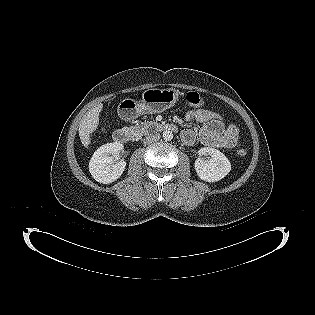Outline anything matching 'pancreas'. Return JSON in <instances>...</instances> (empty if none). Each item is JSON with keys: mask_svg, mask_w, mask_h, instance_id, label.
<instances>
[{"mask_svg": "<svg viewBox=\"0 0 315 315\" xmlns=\"http://www.w3.org/2000/svg\"><path fill=\"white\" fill-rule=\"evenodd\" d=\"M152 125H157L156 122H146V123H142L141 125H135L130 127V130L132 132V136L135 138H139L142 135L148 133V128Z\"/></svg>", "mask_w": 315, "mask_h": 315, "instance_id": "1", "label": "pancreas"}]
</instances>
